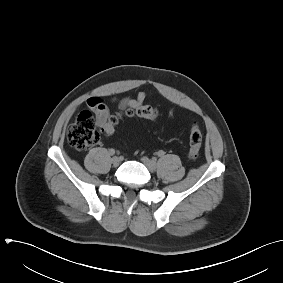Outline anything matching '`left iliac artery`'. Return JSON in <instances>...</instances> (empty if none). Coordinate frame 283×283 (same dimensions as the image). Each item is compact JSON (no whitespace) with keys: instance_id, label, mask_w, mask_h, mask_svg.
Returning a JSON list of instances; mask_svg holds the SVG:
<instances>
[{"instance_id":"left-iliac-artery-1","label":"left iliac artery","mask_w":283,"mask_h":283,"mask_svg":"<svg viewBox=\"0 0 283 283\" xmlns=\"http://www.w3.org/2000/svg\"><path fill=\"white\" fill-rule=\"evenodd\" d=\"M164 154H165V152H164L163 150L158 151V156H159V157L164 156Z\"/></svg>"}]
</instances>
